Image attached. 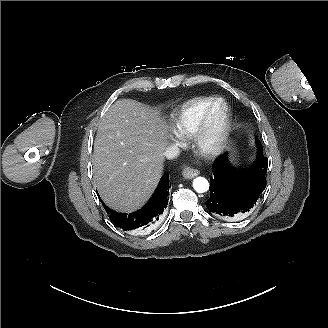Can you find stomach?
Masks as SVG:
<instances>
[{
	"instance_id": "obj_1",
	"label": "stomach",
	"mask_w": 328,
	"mask_h": 328,
	"mask_svg": "<svg viewBox=\"0 0 328 328\" xmlns=\"http://www.w3.org/2000/svg\"><path fill=\"white\" fill-rule=\"evenodd\" d=\"M224 146H225V150H227L229 152V161L232 164H236L237 163V152H236L232 142L229 139H226V141L224 142Z\"/></svg>"
}]
</instances>
